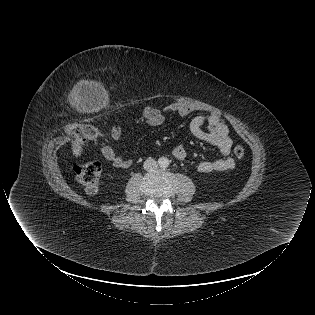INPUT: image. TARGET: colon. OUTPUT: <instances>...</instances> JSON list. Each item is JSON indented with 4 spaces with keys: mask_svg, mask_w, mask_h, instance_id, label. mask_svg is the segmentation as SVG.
I'll list each match as a JSON object with an SVG mask.
<instances>
[{
    "mask_svg": "<svg viewBox=\"0 0 315 315\" xmlns=\"http://www.w3.org/2000/svg\"><path fill=\"white\" fill-rule=\"evenodd\" d=\"M71 137L72 149L76 155H80L87 141L95 140L101 136L100 132L87 125H76L69 130ZM233 153L238 159H242L245 150L242 146L236 145ZM77 181L82 185L88 194H95L98 191L101 177V165L96 161H89L75 166Z\"/></svg>",
    "mask_w": 315,
    "mask_h": 315,
    "instance_id": "1",
    "label": "colon"
}]
</instances>
